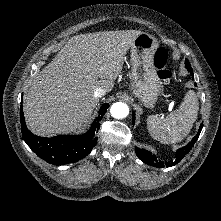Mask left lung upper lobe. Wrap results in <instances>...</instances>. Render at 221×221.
I'll return each instance as SVG.
<instances>
[{
	"label": "left lung upper lobe",
	"mask_w": 221,
	"mask_h": 221,
	"mask_svg": "<svg viewBox=\"0 0 221 221\" xmlns=\"http://www.w3.org/2000/svg\"><path fill=\"white\" fill-rule=\"evenodd\" d=\"M185 64H186V65H188V64H189V61H188L187 59L185 60Z\"/></svg>",
	"instance_id": "left-lung-upper-lobe-1"
}]
</instances>
